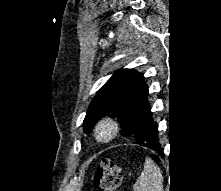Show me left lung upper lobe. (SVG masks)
<instances>
[{"mask_svg": "<svg viewBox=\"0 0 221 191\" xmlns=\"http://www.w3.org/2000/svg\"><path fill=\"white\" fill-rule=\"evenodd\" d=\"M136 76L137 73L132 69H121L100 88L83 121L85 133H89L101 117L109 115L119 120L122 135H132L136 144L147 147L151 144L142 139L140 133L135 130V121L131 113L132 86Z\"/></svg>", "mask_w": 221, "mask_h": 191, "instance_id": "obj_1", "label": "left lung upper lobe"}]
</instances>
